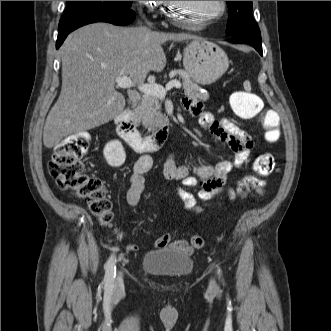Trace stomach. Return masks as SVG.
<instances>
[{
	"mask_svg": "<svg viewBox=\"0 0 331 331\" xmlns=\"http://www.w3.org/2000/svg\"><path fill=\"white\" fill-rule=\"evenodd\" d=\"M183 64L195 82L208 85L226 72L229 61L224 50L217 44L197 38L184 49Z\"/></svg>",
	"mask_w": 331,
	"mask_h": 331,
	"instance_id": "obj_1",
	"label": "stomach"
}]
</instances>
